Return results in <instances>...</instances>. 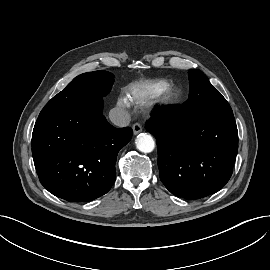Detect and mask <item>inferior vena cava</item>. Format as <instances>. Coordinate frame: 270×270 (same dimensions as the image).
<instances>
[{
  "label": "inferior vena cava",
  "instance_id": "obj_1",
  "mask_svg": "<svg viewBox=\"0 0 270 270\" xmlns=\"http://www.w3.org/2000/svg\"><path fill=\"white\" fill-rule=\"evenodd\" d=\"M109 119L113 124L119 127L128 126L130 123V116L128 112L122 108H113L109 112Z\"/></svg>",
  "mask_w": 270,
  "mask_h": 270
}]
</instances>
